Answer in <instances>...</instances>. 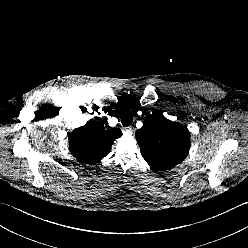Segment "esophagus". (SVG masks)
Here are the masks:
<instances>
[{"instance_id":"34e87169","label":"esophagus","mask_w":248,"mask_h":248,"mask_svg":"<svg viewBox=\"0 0 248 248\" xmlns=\"http://www.w3.org/2000/svg\"><path fill=\"white\" fill-rule=\"evenodd\" d=\"M133 132H134V127L129 126V127L125 128L126 135H132Z\"/></svg>"}]
</instances>
